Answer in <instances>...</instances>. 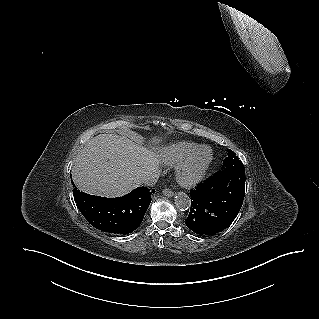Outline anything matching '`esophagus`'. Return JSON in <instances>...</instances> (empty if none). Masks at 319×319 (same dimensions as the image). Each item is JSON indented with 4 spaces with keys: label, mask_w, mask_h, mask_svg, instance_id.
Listing matches in <instances>:
<instances>
[{
    "label": "esophagus",
    "mask_w": 319,
    "mask_h": 319,
    "mask_svg": "<svg viewBox=\"0 0 319 319\" xmlns=\"http://www.w3.org/2000/svg\"><path fill=\"white\" fill-rule=\"evenodd\" d=\"M162 192H163V194H164L165 196H167V197H172V196H174V192H173L172 190L168 189V188L163 189Z\"/></svg>",
    "instance_id": "34e87169"
}]
</instances>
